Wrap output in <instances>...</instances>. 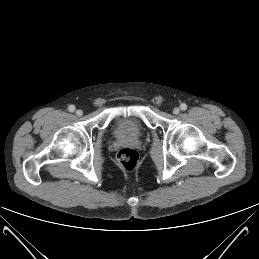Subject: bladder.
<instances>
[{"label":"bladder","instance_id":"31cf9c89","mask_svg":"<svg viewBox=\"0 0 259 259\" xmlns=\"http://www.w3.org/2000/svg\"><path fill=\"white\" fill-rule=\"evenodd\" d=\"M143 127L134 118L120 114L115 115L113 122V133L117 137H138L142 134Z\"/></svg>","mask_w":259,"mask_h":259}]
</instances>
